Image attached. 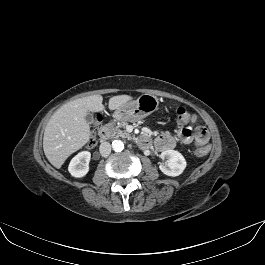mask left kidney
Here are the masks:
<instances>
[{"instance_id": "5707ae66", "label": "left kidney", "mask_w": 265, "mask_h": 265, "mask_svg": "<svg viewBox=\"0 0 265 265\" xmlns=\"http://www.w3.org/2000/svg\"><path fill=\"white\" fill-rule=\"evenodd\" d=\"M160 157L166 159V162L159 166L165 175L176 177L186 168V160L178 151L166 150L161 153Z\"/></svg>"}]
</instances>
